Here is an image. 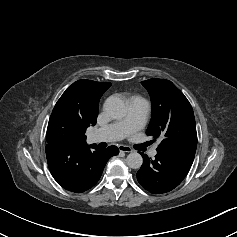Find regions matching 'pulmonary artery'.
<instances>
[{"instance_id": "e3ab8cb5", "label": "pulmonary artery", "mask_w": 237, "mask_h": 237, "mask_svg": "<svg viewBox=\"0 0 237 237\" xmlns=\"http://www.w3.org/2000/svg\"><path fill=\"white\" fill-rule=\"evenodd\" d=\"M149 109L150 104L144 98L133 96L129 100L126 116L122 120L94 130L90 135V140L97 143L119 141L123 139L128 134L144 127ZM150 154L155 156L157 154L156 149H152Z\"/></svg>"}]
</instances>
